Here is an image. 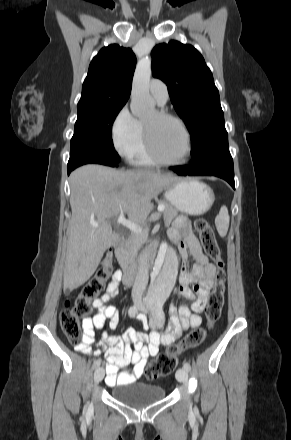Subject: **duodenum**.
Wrapping results in <instances>:
<instances>
[{"label":"duodenum","instance_id":"1","mask_svg":"<svg viewBox=\"0 0 291 440\" xmlns=\"http://www.w3.org/2000/svg\"><path fill=\"white\" fill-rule=\"evenodd\" d=\"M121 235L116 234L115 235V242L113 244V249H116L119 247L121 242ZM155 255L154 251L150 250L148 252V258L146 260V265L144 269H139L137 267L130 266L128 264H125L123 266V281L126 285L132 284L138 277H140L143 272L146 270V268L154 263Z\"/></svg>","mask_w":291,"mask_h":440}]
</instances>
